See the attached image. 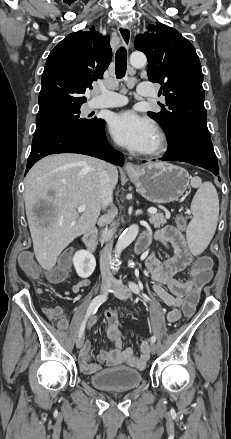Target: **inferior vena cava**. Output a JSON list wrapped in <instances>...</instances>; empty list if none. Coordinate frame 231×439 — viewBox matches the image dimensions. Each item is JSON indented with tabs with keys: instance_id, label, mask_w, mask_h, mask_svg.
<instances>
[{
	"instance_id": "inferior-vena-cava-1",
	"label": "inferior vena cava",
	"mask_w": 231,
	"mask_h": 439,
	"mask_svg": "<svg viewBox=\"0 0 231 439\" xmlns=\"http://www.w3.org/2000/svg\"><path fill=\"white\" fill-rule=\"evenodd\" d=\"M112 165L102 162L100 164L99 178L101 185V192L103 198V208H106L113 201V188L111 185L110 168ZM111 253H112V240L110 236L109 242L101 251L100 255V270L103 281H112L113 275L111 272Z\"/></svg>"
}]
</instances>
